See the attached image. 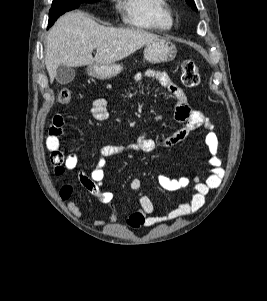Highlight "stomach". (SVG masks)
I'll list each match as a JSON object with an SVG mask.
<instances>
[{
	"label": "stomach",
	"mask_w": 267,
	"mask_h": 301,
	"mask_svg": "<svg viewBox=\"0 0 267 301\" xmlns=\"http://www.w3.org/2000/svg\"><path fill=\"white\" fill-rule=\"evenodd\" d=\"M177 53L175 44L167 39L160 38L157 41L146 44L144 58L150 63H164L172 61ZM123 70L121 64H94L89 69V74L100 80H106L117 76Z\"/></svg>",
	"instance_id": "stomach-1"
}]
</instances>
